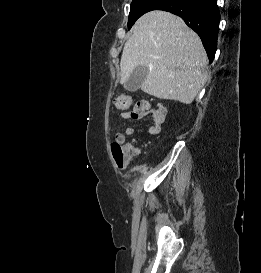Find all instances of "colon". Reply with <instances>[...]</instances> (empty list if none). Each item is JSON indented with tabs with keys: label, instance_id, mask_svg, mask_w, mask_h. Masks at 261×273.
Masks as SVG:
<instances>
[{
	"label": "colon",
	"instance_id": "5ec220e1",
	"mask_svg": "<svg viewBox=\"0 0 261 273\" xmlns=\"http://www.w3.org/2000/svg\"><path fill=\"white\" fill-rule=\"evenodd\" d=\"M114 105L117 109H129L132 106L131 110V118L134 120L140 119L144 116V104L142 101L137 102L135 105H133V100L128 95H121L115 98ZM111 152L113 156V160L115 164L122 168L124 167L129 159V149L127 146L123 143V137L120 135H117L114 139V141L111 144Z\"/></svg>",
	"mask_w": 261,
	"mask_h": 273
}]
</instances>
